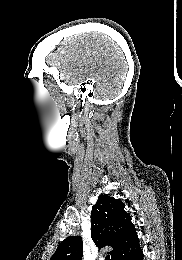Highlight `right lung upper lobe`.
I'll list each match as a JSON object with an SVG mask.
<instances>
[{
  "label": "right lung upper lobe",
  "mask_w": 182,
  "mask_h": 260,
  "mask_svg": "<svg viewBox=\"0 0 182 260\" xmlns=\"http://www.w3.org/2000/svg\"><path fill=\"white\" fill-rule=\"evenodd\" d=\"M124 203L106 194L100 195L91 211V237L98 247L111 246V259L131 246L138 236ZM81 236H70L57 247L51 260H82Z\"/></svg>",
  "instance_id": "cb5924a9"
}]
</instances>
